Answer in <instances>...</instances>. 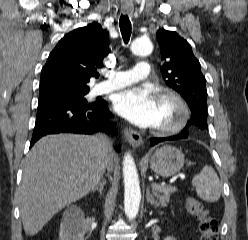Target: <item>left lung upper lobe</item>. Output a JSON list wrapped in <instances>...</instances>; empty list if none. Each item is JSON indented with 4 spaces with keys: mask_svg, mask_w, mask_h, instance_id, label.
<instances>
[{
    "mask_svg": "<svg viewBox=\"0 0 248 240\" xmlns=\"http://www.w3.org/2000/svg\"><path fill=\"white\" fill-rule=\"evenodd\" d=\"M157 41L163 60L161 72L165 83L187 102L192 114L191 123L200 129H207L206 80L190 44L176 32L165 29L157 31ZM189 124L182 132L187 131Z\"/></svg>",
    "mask_w": 248,
    "mask_h": 240,
    "instance_id": "left-lung-upper-lobe-1",
    "label": "left lung upper lobe"
}]
</instances>
